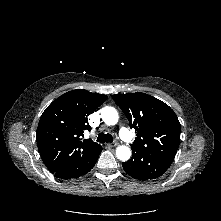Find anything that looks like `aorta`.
<instances>
[{"instance_id": "762f6f07", "label": "aorta", "mask_w": 221, "mask_h": 221, "mask_svg": "<svg viewBox=\"0 0 221 221\" xmlns=\"http://www.w3.org/2000/svg\"><path fill=\"white\" fill-rule=\"evenodd\" d=\"M101 118L105 124L112 126L117 124L119 116L114 107L106 106L101 109ZM116 156L121 161H127L131 157V150L125 145L118 146Z\"/></svg>"}]
</instances>
